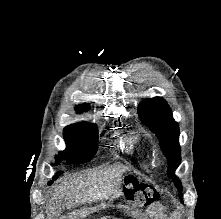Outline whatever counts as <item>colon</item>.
I'll return each instance as SVG.
<instances>
[{
	"label": "colon",
	"mask_w": 221,
	"mask_h": 219,
	"mask_svg": "<svg viewBox=\"0 0 221 219\" xmlns=\"http://www.w3.org/2000/svg\"><path fill=\"white\" fill-rule=\"evenodd\" d=\"M125 189L128 190L133 195V197H136L142 205H149L154 201V196L151 193V189L137 181H127ZM150 193L151 196H149Z\"/></svg>",
	"instance_id": "1"
}]
</instances>
